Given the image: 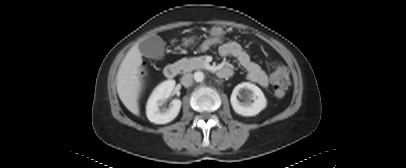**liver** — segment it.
<instances>
[{
	"mask_svg": "<svg viewBox=\"0 0 406 168\" xmlns=\"http://www.w3.org/2000/svg\"><path fill=\"white\" fill-rule=\"evenodd\" d=\"M141 64L142 55L138 45H134L121 62L116 76L119 98L136 116L140 115L138 100L143 88V80L139 75Z\"/></svg>",
	"mask_w": 406,
	"mask_h": 168,
	"instance_id": "liver-1",
	"label": "liver"
}]
</instances>
